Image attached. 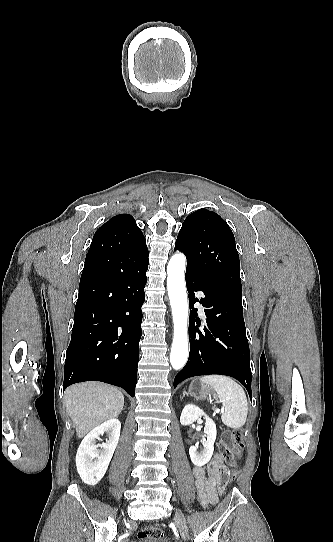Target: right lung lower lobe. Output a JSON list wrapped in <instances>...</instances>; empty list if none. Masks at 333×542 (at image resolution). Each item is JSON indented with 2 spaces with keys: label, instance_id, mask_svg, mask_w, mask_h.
I'll use <instances>...</instances> for the list:
<instances>
[{
  "label": "right lung lower lobe",
  "instance_id": "98d812e1",
  "mask_svg": "<svg viewBox=\"0 0 333 542\" xmlns=\"http://www.w3.org/2000/svg\"><path fill=\"white\" fill-rule=\"evenodd\" d=\"M148 264L146 243L87 253L63 389L96 380L135 396Z\"/></svg>",
  "mask_w": 333,
  "mask_h": 542
}]
</instances>
